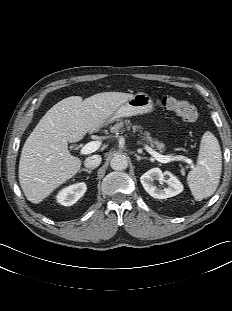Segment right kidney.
<instances>
[{"mask_svg": "<svg viewBox=\"0 0 232 311\" xmlns=\"http://www.w3.org/2000/svg\"><path fill=\"white\" fill-rule=\"evenodd\" d=\"M85 183H77L70 185L61 191L56 196L57 202L63 206H71L75 204L86 192Z\"/></svg>", "mask_w": 232, "mask_h": 311, "instance_id": "right-kidney-1", "label": "right kidney"}]
</instances>
